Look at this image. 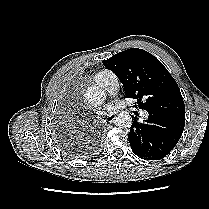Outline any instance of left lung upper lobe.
<instances>
[{
  "label": "left lung upper lobe",
  "instance_id": "left-lung-upper-lobe-1",
  "mask_svg": "<svg viewBox=\"0 0 209 209\" xmlns=\"http://www.w3.org/2000/svg\"><path fill=\"white\" fill-rule=\"evenodd\" d=\"M103 64L122 82L126 98L137 99L139 108L149 114L173 115L185 120L180 89L155 56L132 48L104 60Z\"/></svg>",
  "mask_w": 209,
  "mask_h": 209
}]
</instances>
